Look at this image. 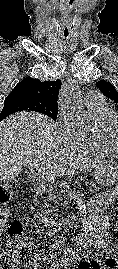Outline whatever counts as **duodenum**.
<instances>
[{
	"label": "duodenum",
	"instance_id": "duodenum-1",
	"mask_svg": "<svg viewBox=\"0 0 118 269\" xmlns=\"http://www.w3.org/2000/svg\"><path fill=\"white\" fill-rule=\"evenodd\" d=\"M35 219L37 222H39L41 225H43L52 232L60 233L64 231V226L61 222L55 220L52 217H49L42 211H37L35 213Z\"/></svg>",
	"mask_w": 118,
	"mask_h": 269
}]
</instances>
